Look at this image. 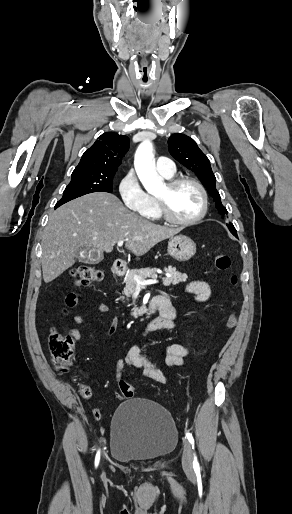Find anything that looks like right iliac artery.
Here are the masks:
<instances>
[{
  "instance_id": "right-iliac-artery-1",
  "label": "right iliac artery",
  "mask_w": 292,
  "mask_h": 514,
  "mask_svg": "<svg viewBox=\"0 0 292 514\" xmlns=\"http://www.w3.org/2000/svg\"><path fill=\"white\" fill-rule=\"evenodd\" d=\"M99 461H100V450L97 452L96 458H95V466L96 467L98 466Z\"/></svg>"
}]
</instances>
